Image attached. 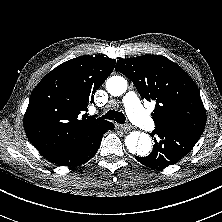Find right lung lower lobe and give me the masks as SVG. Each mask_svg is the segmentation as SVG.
I'll return each mask as SVG.
<instances>
[{"instance_id": "98d812e1", "label": "right lung lower lobe", "mask_w": 222, "mask_h": 222, "mask_svg": "<svg viewBox=\"0 0 222 222\" xmlns=\"http://www.w3.org/2000/svg\"><path fill=\"white\" fill-rule=\"evenodd\" d=\"M114 124L107 122L100 127L95 133L91 134L89 138L81 145L49 157L47 160L59 166H79L90 160L100 147L103 134L107 130H113Z\"/></svg>"}]
</instances>
